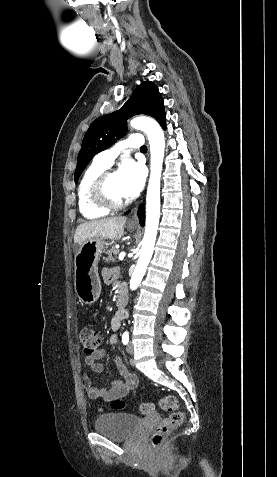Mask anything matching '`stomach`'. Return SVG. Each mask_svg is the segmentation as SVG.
<instances>
[{
  "instance_id": "1",
  "label": "stomach",
  "mask_w": 277,
  "mask_h": 477,
  "mask_svg": "<svg viewBox=\"0 0 277 477\" xmlns=\"http://www.w3.org/2000/svg\"><path fill=\"white\" fill-rule=\"evenodd\" d=\"M129 230L135 227L128 226ZM107 243L101 238H92L78 246L75 254L74 287L79 301L92 304L100 296L101 283L97 273L99 258Z\"/></svg>"
}]
</instances>
